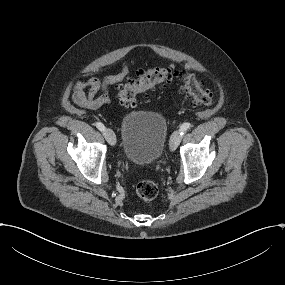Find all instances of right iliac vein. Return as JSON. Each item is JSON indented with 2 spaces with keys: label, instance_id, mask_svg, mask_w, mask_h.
<instances>
[{
  "label": "right iliac vein",
  "instance_id": "1",
  "mask_svg": "<svg viewBox=\"0 0 285 285\" xmlns=\"http://www.w3.org/2000/svg\"><path fill=\"white\" fill-rule=\"evenodd\" d=\"M104 136H105L107 142L110 145H112V146L115 145V143H116V136H115L114 132L110 128H105Z\"/></svg>",
  "mask_w": 285,
  "mask_h": 285
}]
</instances>
